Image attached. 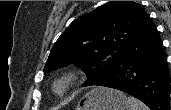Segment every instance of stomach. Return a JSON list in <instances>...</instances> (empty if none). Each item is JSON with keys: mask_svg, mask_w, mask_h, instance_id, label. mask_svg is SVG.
I'll use <instances>...</instances> for the list:
<instances>
[{"mask_svg": "<svg viewBox=\"0 0 171 110\" xmlns=\"http://www.w3.org/2000/svg\"><path fill=\"white\" fill-rule=\"evenodd\" d=\"M76 110H128L127 98L108 88H94L78 103Z\"/></svg>", "mask_w": 171, "mask_h": 110, "instance_id": "0dacf381", "label": "stomach"}]
</instances>
